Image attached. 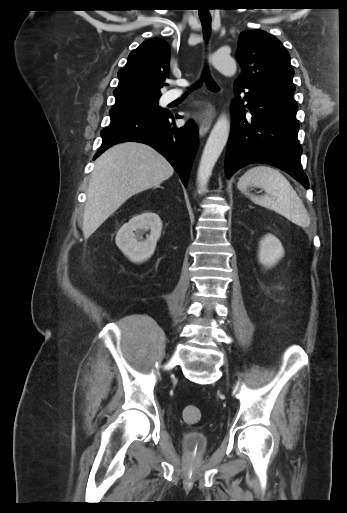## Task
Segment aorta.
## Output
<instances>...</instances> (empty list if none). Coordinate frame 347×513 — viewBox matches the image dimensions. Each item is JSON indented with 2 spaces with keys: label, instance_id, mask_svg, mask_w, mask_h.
I'll list each match as a JSON object with an SVG mask.
<instances>
[{
  "label": "aorta",
  "instance_id": "aorta-1",
  "mask_svg": "<svg viewBox=\"0 0 347 513\" xmlns=\"http://www.w3.org/2000/svg\"><path fill=\"white\" fill-rule=\"evenodd\" d=\"M210 61L226 77H232L236 73V61L227 53L216 51L211 55ZM229 133V118L226 115H222L215 123L201 156L197 171L199 194H204L207 191V184L212 170L228 141Z\"/></svg>",
  "mask_w": 347,
  "mask_h": 513
}]
</instances>
